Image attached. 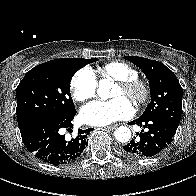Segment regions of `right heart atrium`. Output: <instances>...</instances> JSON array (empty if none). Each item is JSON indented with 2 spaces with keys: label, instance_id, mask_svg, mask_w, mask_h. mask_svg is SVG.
Instances as JSON below:
<instances>
[{
  "label": "right heart atrium",
  "instance_id": "obj_1",
  "mask_svg": "<svg viewBox=\"0 0 196 196\" xmlns=\"http://www.w3.org/2000/svg\"><path fill=\"white\" fill-rule=\"evenodd\" d=\"M97 85L94 72L90 68L84 67L77 71L71 79L72 96L76 101H87L95 96Z\"/></svg>",
  "mask_w": 196,
  "mask_h": 196
}]
</instances>
